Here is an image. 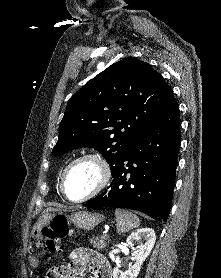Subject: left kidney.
Wrapping results in <instances>:
<instances>
[{
    "label": "left kidney",
    "instance_id": "obj_1",
    "mask_svg": "<svg viewBox=\"0 0 221 278\" xmlns=\"http://www.w3.org/2000/svg\"><path fill=\"white\" fill-rule=\"evenodd\" d=\"M155 240L154 230L148 227L138 229L131 233L126 242L132 249V256L136 262L125 272L121 271L119 267H115L113 270V278H137L143 262L151 253ZM134 242H137V247H133Z\"/></svg>",
    "mask_w": 221,
    "mask_h": 278
}]
</instances>
